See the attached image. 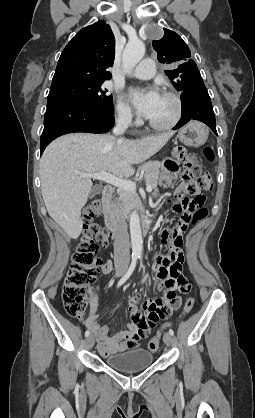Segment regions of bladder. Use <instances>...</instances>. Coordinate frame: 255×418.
Here are the masks:
<instances>
[{
    "label": "bladder",
    "instance_id": "31cf9c89",
    "mask_svg": "<svg viewBox=\"0 0 255 418\" xmlns=\"http://www.w3.org/2000/svg\"><path fill=\"white\" fill-rule=\"evenodd\" d=\"M153 359V353L150 350L139 348L110 355L105 358V363L117 371L130 373L149 367L153 363Z\"/></svg>",
    "mask_w": 255,
    "mask_h": 418
}]
</instances>
